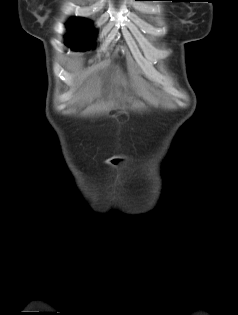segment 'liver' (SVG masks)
<instances>
[{
    "label": "liver",
    "instance_id": "6515ba94",
    "mask_svg": "<svg viewBox=\"0 0 238 315\" xmlns=\"http://www.w3.org/2000/svg\"><path fill=\"white\" fill-rule=\"evenodd\" d=\"M81 60L75 59L72 65L69 67L73 74V80L71 84L72 98L75 102L80 100L92 101L98 99L102 95V82L98 77V73L87 70L81 71ZM111 91L106 98L104 108L106 111L121 109L125 111L127 109L126 103H131L132 100L126 95H123L120 90V86L126 88L127 81L120 76L113 77L111 79Z\"/></svg>",
    "mask_w": 238,
    "mask_h": 315
}]
</instances>
